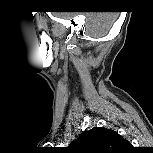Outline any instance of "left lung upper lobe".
I'll return each instance as SVG.
<instances>
[{"instance_id": "1", "label": "left lung upper lobe", "mask_w": 153, "mask_h": 153, "mask_svg": "<svg viewBox=\"0 0 153 153\" xmlns=\"http://www.w3.org/2000/svg\"><path fill=\"white\" fill-rule=\"evenodd\" d=\"M129 146L130 143L117 132L95 127L83 132L69 147L79 153H115Z\"/></svg>"}]
</instances>
